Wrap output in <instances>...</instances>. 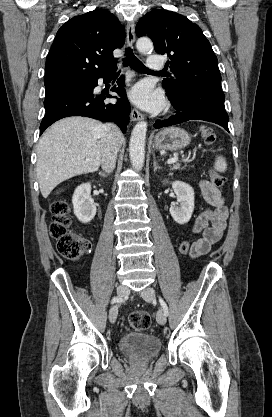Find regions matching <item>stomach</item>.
I'll list each match as a JSON object with an SVG mask.
<instances>
[{
  "label": "stomach",
  "mask_w": 272,
  "mask_h": 417,
  "mask_svg": "<svg viewBox=\"0 0 272 417\" xmlns=\"http://www.w3.org/2000/svg\"><path fill=\"white\" fill-rule=\"evenodd\" d=\"M189 134L179 127H169L161 130L154 137L153 146L158 150L178 151L189 145Z\"/></svg>",
  "instance_id": "stomach-1"
}]
</instances>
